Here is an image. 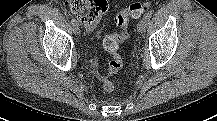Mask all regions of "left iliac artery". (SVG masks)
Here are the masks:
<instances>
[{"instance_id": "44dca946", "label": "left iliac artery", "mask_w": 217, "mask_h": 121, "mask_svg": "<svg viewBox=\"0 0 217 121\" xmlns=\"http://www.w3.org/2000/svg\"><path fill=\"white\" fill-rule=\"evenodd\" d=\"M151 13H146L144 16H143V19H145L146 21H149L150 18H151Z\"/></svg>"}]
</instances>
